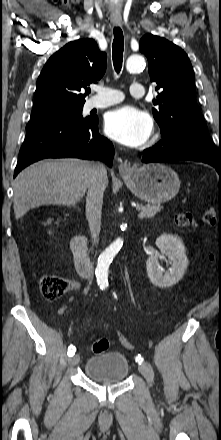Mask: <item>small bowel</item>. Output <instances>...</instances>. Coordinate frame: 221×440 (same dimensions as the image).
<instances>
[{
  "mask_svg": "<svg viewBox=\"0 0 221 440\" xmlns=\"http://www.w3.org/2000/svg\"><path fill=\"white\" fill-rule=\"evenodd\" d=\"M75 287H77V283H75V282H73V281H70V282L68 283V289L75 288Z\"/></svg>",
  "mask_w": 221,
  "mask_h": 440,
  "instance_id": "c3829d8e",
  "label": "small bowel"
}]
</instances>
